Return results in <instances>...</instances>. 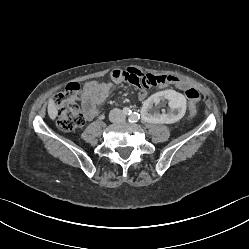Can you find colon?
Listing matches in <instances>:
<instances>
[{"label": "colon", "instance_id": "5ec220e1", "mask_svg": "<svg viewBox=\"0 0 249 249\" xmlns=\"http://www.w3.org/2000/svg\"><path fill=\"white\" fill-rule=\"evenodd\" d=\"M166 83H175L184 90L185 96L189 101L190 116L194 118L197 115L198 101L200 99V93L197 89L189 86L188 82L173 76H155L143 73L142 86L145 89L154 88ZM81 93V88L78 83H69L63 91L54 97V106L58 116V127L61 130L72 132L83 126L85 117L77 105Z\"/></svg>", "mask_w": 249, "mask_h": 249}]
</instances>
